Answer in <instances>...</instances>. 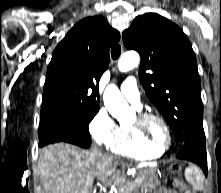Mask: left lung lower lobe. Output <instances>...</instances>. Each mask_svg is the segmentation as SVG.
<instances>
[{"instance_id": "obj_1", "label": "left lung lower lobe", "mask_w": 221, "mask_h": 193, "mask_svg": "<svg viewBox=\"0 0 221 193\" xmlns=\"http://www.w3.org/2000/svg\"><path fill=\"white\" fill-rule=\"evenodd\" d=\"M177 158L196 163L202 168L204 174L207 175L205 137H200L184 143L177 154Z\"/></svg>"}]
</instances>
